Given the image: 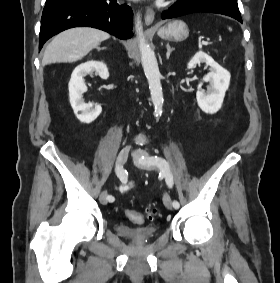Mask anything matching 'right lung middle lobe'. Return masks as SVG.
<instances>
[{
	"label": "right lung middle lobe",
	"instance_id": "dd1d6c3e",
	"mask_svg": "<svg viewBox=\"0 0 280 283\" xmlns=\"http://www.w3.org/2000/svg\"><path fill=\"white\" fill-rule=\"evenodd\" d=\"M52 1H54V0H46V3H49V2H52Z\"/></svg>",
	"mask_w": 280,
	"mask_h": 283
}]
</instances>
